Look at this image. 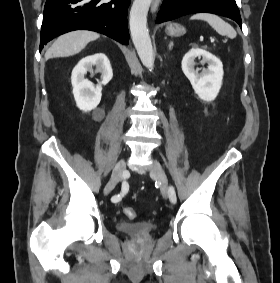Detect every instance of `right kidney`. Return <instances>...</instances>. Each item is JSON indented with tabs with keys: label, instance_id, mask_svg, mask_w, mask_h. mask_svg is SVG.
Wrapping results in <instances>:
<instances>
[{
	"label": "right kidney",
	"instance_id": "right-kidney-1",
	"mask_svg": "<svg viewBox=\"0 0 280 283\" xmlns=\"http://www.w3.org/2000/svg\"><path fill=\"white\" fill-rule=\"evenodd\" d=\"M95 66V72L101 74V83L96 87L88 79H85L87 71L93 73L92 67ZM113 76L110 61L103 53H97L82 58L74 67L71 75L73 86V95L77 107L88 112L95 109L100 103L102 96V86L106 85Z\"/></svg>",
	"mask_w": 280,
	"mask_h": 283
}]
</instances>
